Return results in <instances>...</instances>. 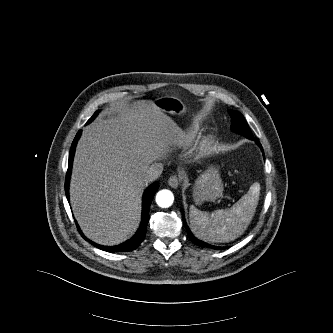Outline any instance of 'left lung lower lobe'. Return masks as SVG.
Returning <instances> with one entry per match:
<instances>
[{"label": "left lung lower lobe", "instance_id": "obj_1", "mask_svg": "<svg viewBox=\"0 0 333 333\" xmlns=\"http://www.w3.org/2000/svg\"><path fill=\"white\" fill-rule=\"evenodd\" d=\"M251 139H253V138H251ZM259 145H260V144H259ZM260 147H261V145H260ZM261 149H262V147H261ZM183 221H184V225H185V228H186V230H187V233H188L190 239H191L195 244H197V245H199V246H202V247L214 248V249H217V250L224 249V247L212 246V245H209V244H207V243H205V242H203V241L198 240L197 238H195V237L193 236V234L191 233L190 229L188 228V226H187V224H186L184 218H183Z\"/></svg>", "mask_w": 333, "mask_h": 333}]
</instances>
